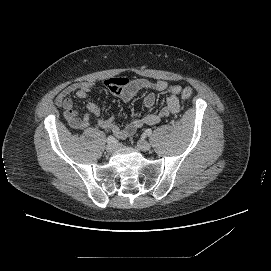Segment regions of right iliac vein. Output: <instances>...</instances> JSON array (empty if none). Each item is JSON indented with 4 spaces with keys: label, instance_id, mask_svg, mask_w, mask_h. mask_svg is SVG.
<instances>
[{
    "label": "right iliac vein",
    "instance_id": "1",
    "mask_svg": "<svg viewBox=\"0 0 271 271\" xmlns=\"http://www.w3.org/2000/svg\"><path fill=\"white\" fill-rule=\"evenodd\" d=\"M114 149H115V145H114V144H108V145L106 146V151H107L108 153L113 152Z\"/></svg>",
    "mask_w": 271,
    "mask_h": 271
}]
</instances>
